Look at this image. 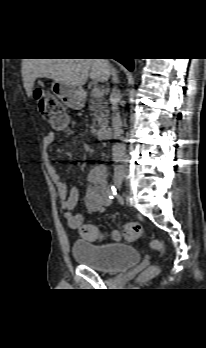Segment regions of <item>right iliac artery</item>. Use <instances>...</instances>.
Instances as JSON below:
<instances>
[{
	"mask_svg": "<svg viewBox=\"0 0 206 348\" xmlns=\"http://www.w3.org/2000/svg\"><path fill=\"white\" fill-rule=\"evenodd\" d=\"M107 193L109 195V198H114L117 194V190L115 188L114 185H109L108 189H107Z\"/></svg>",
	"mask_w": 206,
	"mask_h": 348,
	"instance_id": "1",
	"label": "right iliac artery"
}]
</instances>
